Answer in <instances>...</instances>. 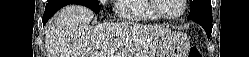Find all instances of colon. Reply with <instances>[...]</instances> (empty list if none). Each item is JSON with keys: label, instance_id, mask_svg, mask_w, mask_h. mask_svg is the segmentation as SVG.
Returning a JSON list of instances; mask_svg holds the SVG:
<instances>
[{"label": "colon", "instance_id": "obj_1", "mask_svg": "<svg viewBox=\"0 0 249 57\" xmlns=\"http://www.w3.org/2000/svg\"><path fill=\"white\" fill-rule=\"evenodd\" d=\"M188 57H202V52L198 48L193 47L190 49Z\"/></svg>", "mask_w": 249, "mask_h": 57}]
</instances>
